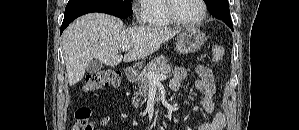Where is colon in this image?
Masks as SVG:
<instances>
[{
	"label": "colon",
	"instance_id": "obj_1",
	"mask_svg": "<svg viewBox=\"0 0 299 130\" xmlns=\"http://www.w3.org/2000/svg\"><path fill=\"white\" fill-rule=\"evenodd\" d=\"M212 62L219 63L224 56V48L219 44L211 46ZM122 75L119 71L113 69H105L95 72L86 78L84 90L92 92L104 86H118L121 82ZM91 110L83 107L77 110L76 124L74 128L77 130H94L93 124L89 121ZM73 130V129H72Z\"/></svg>",
	"mask_w": 299,
	"mask_h": 130
}]
</instances>
